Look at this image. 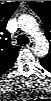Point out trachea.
<instances>
[{"mask_svg":"<svg viewBox=\"0 0 51 101\" xmlns=\"http://www.w3.org/2000/svg\"><path fill=\"white\" fill-rule=\"evenodd\" d=\"M17 43L18 44H28L29 43V39L25 35H19L17 37Z\"/></svg>","mask_w":51,"mask_h":101,"instance_id":"trachea-1","label":"trachea"}]
</instances>
